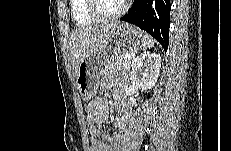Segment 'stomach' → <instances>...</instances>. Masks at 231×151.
<instances>
[{
    "mask_svg": "<svg viewBox=\"0 0 231 151\" xmlns=\"http://www.w3.org/2000/svg\"><path fill=\"white\" fill-rule=\"evenodd\" d=\"M144 45V34L129 24H118L103 47L85 56L76 73L77 90L86 99H93L100 78L108 64L120 54L137 52Z\"/></svg>",
    "mask_w": 231,
    "mask_h": 151,
    "instance_id": "stomach-1",
    "label": "stomach"
}]
</instances>
